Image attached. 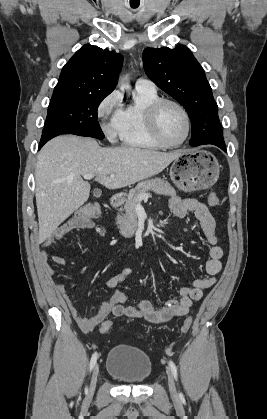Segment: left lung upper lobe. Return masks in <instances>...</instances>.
Segmentation results:
<instances>
[{
	"label": "left lung upper lobe",
	"instance_id": "5c2ea615",
	"mask_svg": "<svg viewBox=\"0 0 267 419\" xmlns=\"http://www.w3.org/2000/svg\"><path fill=\"white\" fill-rule=\"evenodd\" d=\"M142 57L147 76L187 111L192 125L190 144L207 133L224 142L212 89L192 52L184 45L146 48Z\"/></svg>",
	"mask_w": 267,
	"mask_h": 419
}]
</instances>
